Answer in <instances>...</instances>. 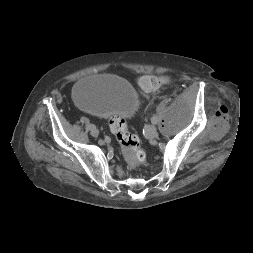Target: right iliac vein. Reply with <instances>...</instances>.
<instances>
[{
	"label": "right iliac vein",
	"mask_w": 253,
	"mask_h": 253,
	"mask_svg": "<svg viewBox=\"0 0 253 253\" xmlns=\"http://www.w3.org/2000/svg\"><path fill=\"white\" fill-rule=\"evenodd\" d=\"M99 134V131L96 128L91 129V135L94 137H97Z\"/></svg>",
	"instance_id": "63e3f726"
}]
</instances>
